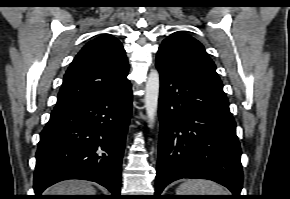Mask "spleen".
I'll return each mask as SVG.
<instances>
[{
	"label": "spleen",
	"mask_w": 290,
	"mask_h": 199,
	"mask_svg": "<svg viewBox=\"0 0 290 199\" xmlns=\"http://www.w3.org/2000/svg\"><path fill=\"white\" fill-rule=\"evenodd\" d=\"M177 195H228L219 184L200 179L186 180L177 188Z\"/></svg>",
	"instance_id": "3e777b00"
}]
</instances>
